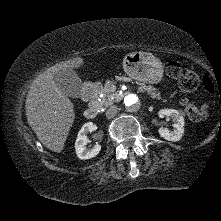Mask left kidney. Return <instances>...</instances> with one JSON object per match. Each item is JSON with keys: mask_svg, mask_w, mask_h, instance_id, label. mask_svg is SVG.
<instances>
[{"mask_svg": "<svg viewBox=\"0 0 221 221\" xmlns=\"http://www.w3.org/2000/svg\"><path fill=\"white\" fill-rule=\"evenodd\" d=\"M159 115L171 117L174 122L172 130L161 127L158 130L160 136L169 141H173V142L179 141L184 134L183 115L178 110H174V109H162L159 111Z\"/></svg>", "mask_w": 221, "mask_h": 221, "instance_id": "left-kidney-1", "label": "left kidney"}]
</instances>
